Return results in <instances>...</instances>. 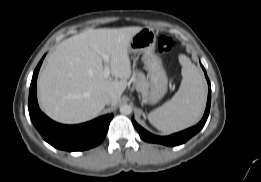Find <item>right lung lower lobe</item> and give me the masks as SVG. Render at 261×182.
I'll use <instances>...</instances> for the list:
<instances>
[{
	"label": "right lung lower lobe",
	"instance_id": "98d812e1",
	"mask_svg": "<svg viewBox=\"0 0 261 182\" xmlns=\"http://www.w3.org/2000/svg\"><path fill=\"white\" fill-rule=\"evenodd\" d=\"M44 57L34 71L29 91L28 109L35 128L46 142L61 150L82 151L99 145L107 133L113 114L84 124L63 125L52 121L40 111L37 103L36 84Z\"/></svg>",
	"mask_w": 261,
	"mask_h": 182
}]
</instances>
